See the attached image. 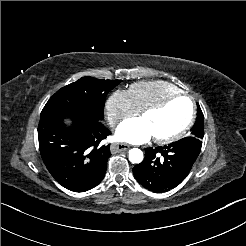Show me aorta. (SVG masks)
Segmentation results:
<instances>
[{
	"label": "aorta",
	"mask_w": 246,
	"mask_h": 246,
	"mask_svg": "<svg viewBox=\"0 0 246 246\" xmlns=\"http://www.w3.org/2000/svg\"><path fill=\"white\" fill-rule=\"evenodd\" d=\"M129 161L133 164H139L143 161V152L138 148L129 150Z\"/></svg>",
	"instance_id": "obj_1"
}]
</instances>
